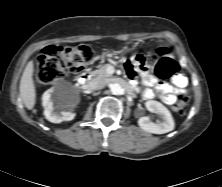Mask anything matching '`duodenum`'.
I'll return each mask as SVG.
<instances>
[{"instance_id":"410a0bca","label":"duodenum","mask_w":222,"mask_h":187,"mask_svg":"<svg viewBox=\"0 0 222 187\" xmlns=\"http://www.w3.org/2000/svg\"><path fill=\"white\" fill-rule=\"evenodd\" d=\"M91 77H92L91 72H84L79 76V78H78L79 83L84 90L88 88V83H89Z\"/></svg>"}]
</instances>
